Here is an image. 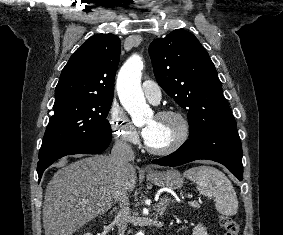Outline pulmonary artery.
Returning a JSON list of instances; mask_svg holds the SVG:
<instances>
[{
  "mask_svg": "<svg viewBox=\"0 0 283 235\" xmlns=\"http://www.w3.org/2000/svg\"><path fill=\"white\" fill-rule=\"evenodd\" d=\"M142 91L145 97L152 103H158L161 99V89L158 84L152 80L142 82Z\"/></svg>",
  "mask_w": 283,
  "mask_h": 235,
  "instance_id": "pulmonary-artery-1",
  "label": "pulmonary artery"
}]
</instances>
